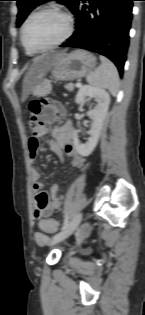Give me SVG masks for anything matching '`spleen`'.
<instances>
[{
	"label": "spleen",
	"mask_w": 145,
	"mask_h": 315,
	"mask_svg": "<svg viewBox=\"0 0 145 315\" xmlns=\"http://www.w3.org/2000/svg\"><path fill=\"white\" fill-rule=\"evenodd\" d=\"M101 65L87 76V82L97 88L107 89L113 96L119 91V74L116 66L106 57L100 56Z\"/></svg>",
	"instance_id": "1"
}]
</instances>
